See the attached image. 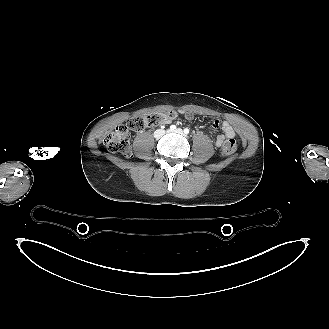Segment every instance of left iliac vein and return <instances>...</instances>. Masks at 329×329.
<instances>
[{
    "instance_id": "obj_1",
    "label": "left iliac vein",
    "mask_w": 329,
    "mask_h": 329,
    "mask_svg": "<svg viewBox=\"0 0 329 329\" xmlns=\"http://www.w3.org/2000/svg\"><path fill=\"white\" fill-rule=\"evenodd\" d=\"M173 132L177 133V134H183V130L178 128L176 130H174Z\"/></svg>"
}]
</instances>
